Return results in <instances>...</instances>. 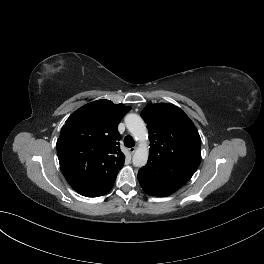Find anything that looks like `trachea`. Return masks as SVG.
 I'll list each match as a JSON object with an SVG mask.
<instances>
[{
    "mask_svg": "<svg viewBox=\"0 0 264 264\" xmlns=\"http://www.w3.org/2000/svg\"><path fill=\"white\" fill-rule=\"evenodd\" d=\"M124 144L126 147H133L135 145V142L131 136H126L124 138Z\"/></svg>",
    "mask_w": 264,
    "mask_h": 264,
    "instance_id": "trachea-1",
    "label": "trachea"
}]
</instances>
